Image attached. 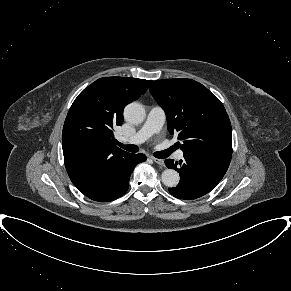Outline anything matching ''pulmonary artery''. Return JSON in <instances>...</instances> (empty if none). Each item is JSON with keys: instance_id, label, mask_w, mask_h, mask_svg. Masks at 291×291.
Masks as SVG:
<instances>
[{"instance_id": "1", "label": "pulmonary artery", "mask_w": 291, "mask_h": 291, "mask_svg": "<svg viewBox=\"0 0 291 291\" xmlns=\"http://www.w3.org/2000/svg\"><path fill=\"white\" fill-rule=\"evenodd\" d=\"M165 121V112L160 106H153L148 112L147 118L143 126L133 136L122 138L121 141L128 144H140L146 141L148 138L157 134L162 129ZM183 151L176 152V159L183 158Z\"/></svg>"}]
</instances>
